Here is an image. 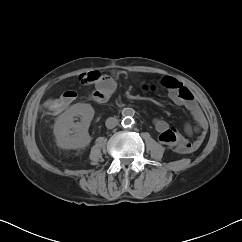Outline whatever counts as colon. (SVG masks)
I'll return each mask as SVG.
<instances>
[{
    "instance_id": "1",
    "label": "colon",
    "mask_w": 242,
    "mask_h": 242,
    "mask_svg": "<svg viewBox=\"0 0 242 242\" xmlns=\"http://www.w3.org/2000/svg\"><path fill=\"white\" fill-rule=\"evenodd\" d=\"M99 75L100 74H98V73L91 74L88 78L84 77V81L85 82L95 81L99 78ZM69 97L70 96L65 93V94L61 95L60 97L49 98L45 102V109L49 113H54V114L60 113L67 106ZM94 97L97 100H106L109 97V95L105 91H99L96 94L94 93Z\"/></svg>"
}]
</instances>
